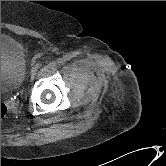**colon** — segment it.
Listing matches in <instances>:
<instances>
[{
    "label": "colon",
    "instance_id": "colon-1",
    "mask_svg": "<svg viewBox=\"0 0 166 166\" xmlns=\"http://www.w3.org/2000/svg\"><path fill=\"white\" fill-rule=\"evenodd\" d=\"M8 113V108L7 106L1 102V119H3Z\"/></svg>",
    "mask_w": 166,
    "mask_h": 166
}]
</instances>
